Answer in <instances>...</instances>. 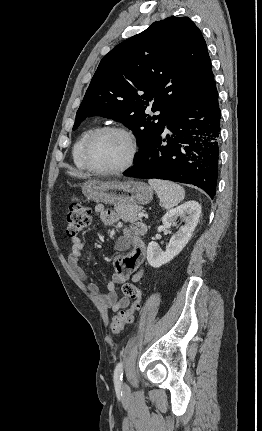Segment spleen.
I'll return each mask as SVG.
<instances>
[{
    "label": "spleen",
    "instance_id": "3e777b00",
    "mask_svg": "<svg viewBox=\"0 0 262 431\" xmlns=\"http://www.w3.org/2000/svg\"><path fill=\"white\" fill-rule=\"evenodd\" d=\"M148 183L156 191L165 209L177 206L185 197V190L171 181L149 179Z\"/></svg>",
    "mask_w": 262,
    "mask_h": 431
}]
</instances>
